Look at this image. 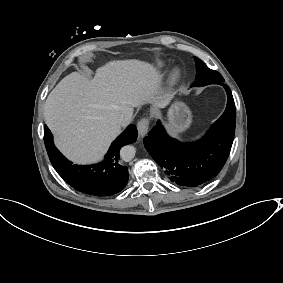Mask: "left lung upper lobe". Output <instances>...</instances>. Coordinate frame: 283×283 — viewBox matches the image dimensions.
I'll return each instance as SVG.
<instances>
[{"label":"left lung upper lobe","instance_id":"obj_1","mask_svg":"<svg viewBox=\"0 0 283 283\" xmlns=\"http://www.w3.org/2000/svg\"><path fill=\"white\" fill-rule=\"evenodd\" d=\"M196 62V78L192 86H205L208 84H224L221 74L215 70L209 69L206 64L199 58L195 57Z\"/></svg>","mask_w":283,"mask_h":283}]
</instances>
